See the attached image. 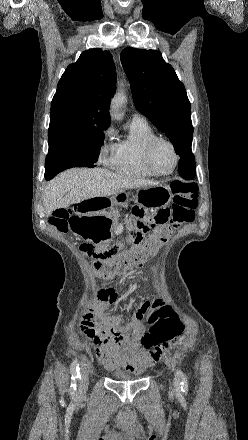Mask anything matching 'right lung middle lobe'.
<instances>
[{"label": "right lung middle lobe", "mask_w": 248, "mask_h": 440, "mask_svg": "<svg viewBox=\"0 0 248 440\" xmlns=\"http://www.w3.org/2000/svg\"><path fill=\"white\" fill-rule=\"evenodd\" d=\"M104 130L49 145L44 175L46 180L68 168L98 166L100 148L104 143Z\"/></svg>", "instance_id": "right-lung-middle-lobe-1"}]
</instances>
